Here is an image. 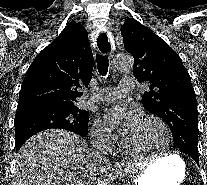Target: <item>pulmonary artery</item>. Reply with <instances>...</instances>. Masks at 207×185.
Listing matches in <instances>:
<instances>
[{
	"label": "pulmonary artery",
	"instance_id": "obj_1",
	"mask_svg": "<svg viewBox=\"0 0 207 185\" xmlns=\"http://www.w3.org/2000/svg\"><path fill=\"white\" fill-rule=\"evenodd\" d=\"M120 86H122V90L113 87L101 89L98 94L99 98L103 101H112L121 98L130 91H135V81H132L131 77H125L124 81H120Z\"/></svg>",
	"mask_w": 207,
	"mask_h": 185
}]
</instances>
